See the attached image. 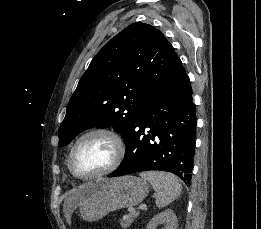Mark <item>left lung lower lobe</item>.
<instances>
[{
	"mask_svg": "<svg viewBox=\"0 0 261 229\" xmlns=\"http://www.w3.org/2000/svg\"><path fill=\"white\" fill-rule=\"evenodd\" d=\"M195 115L190 80L181 65L146 98L126 142L125 159L108 177L160 170L171 172L184 181L191 179Z\"/></svg>",
	"mask_w": 261,
	"mask_h": 229,
	"instance_id": "obj_1",
	"label": "left lung lower lobe"
}]
</instances>
